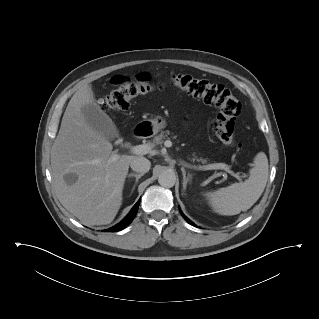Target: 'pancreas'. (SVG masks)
<instances>
[{"label":"pancreas","mask_w":319,"mask_h":319,"mask_svg":"<svg viewBox=\"0 0 319 319\" xmlns=\"http://www.w3.org/2000/svg\"><path fill=\"white\" fill-rule=\"evenodd\" d=\"M169 134H170L169 131H162L159 135L154 137L153 142L156 144H161L162 140L168 137ZM195 160L198 162H201L202 164L208 163V161L203 158H192V161H195Z\"/></svg>","instance_id":"cf45deb5"}]
</instances>
